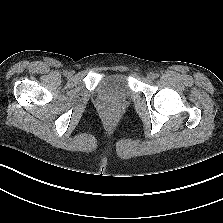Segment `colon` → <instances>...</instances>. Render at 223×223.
<instances>
[{"label":"colon","instance_id":"colon-1","mask_svg":"<svg viewBox=\"0 0 223 223\" xmlns=\"http://www.w3.org/2000/svg\"><path fill=\"white\" fill-rule=\"evenodd\" d=\"M107 120L108 122H110L112 120V114L111 113H107Z\"/></svg>","mask_w":223,"mask_h":223}]
</instances>
